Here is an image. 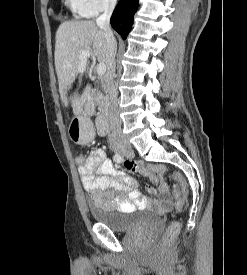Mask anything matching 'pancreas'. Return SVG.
I'll return each mask as SVG.
<instances>
[{
    "mask_svg": "<svg viewBox=\"0 0 247 275\" xmlns=\"http://www.w3.org/2000/svg\"><path fill=\"white\" fill-rule=\"evenodd\" d=\"M94 100L96 101V103L98 105V110L101 113H104L108 107L107 97L105 95H103L101 92H97L96 96L94 97Z\"/></svg>",
    "mask_w": 247,
    "mask_h": 275,
    "instance_id": "cf45deb5",
    "label": "pancreas"
}]
</instances>
